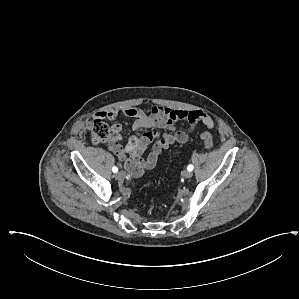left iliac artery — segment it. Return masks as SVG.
<instances>
[{
  "instance_id": "left-iliac-artery-1",
  "label": "left iliac artery",
  "mask_w": 299,
  "mask_h": 299,
  "mask_svg": "<svg viewBox=\"0 0 299 299\" xmlns=\"http://www.w3.org/2000/svg\"><path fill=\"white\" fill-rule=\"evenodd\" d=\"M193 169H194V166H193V165H191V164L188 165V167H187V170H188V171H192Z\"/></svg>"
}]
</instances>
